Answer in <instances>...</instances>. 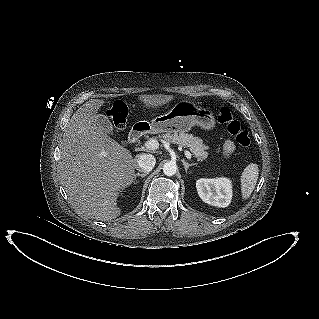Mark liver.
I'll return each mask as SVG.
<instances>
[{
	"instance_id": "liver-1",
	"label": "liver",
	"mask_w": 319,
	"mask_h": 319,
	"mask_svg": "<svg viewBox=\"0 0 319 319\" xmlns=\"http://www.w3.org/2000/svg\"><path fill=\"white\" fill-rule=\"evenodd\" d=\"M146 107L162 106L172 95H143ZM105 102L84 103L69 120L60 144L61 182L75 212L85 218H117L120 191L134 180L136 159L97 125L98 110Z\"/></svg>"
}]
</instances>
